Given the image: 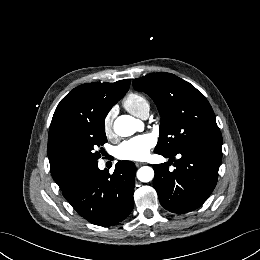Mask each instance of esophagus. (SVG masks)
Instances as JSON below:
<instances>
[{
	"mask_svg": "<svg viewBox=\"0 0 260 260\" xmlns=\"http://www.w3.org/2000/svg\"><path fill=\"white\" fill-rule=\"evenodd\" d=\"M144 163H142V162H135V165L137 166V167H140L141 165H143Z\"/></svg>",
	"mask_w": 260,
	"mask_h": 260,
	"instance_id": "1",
	"label": "esophagus"
}]
</instances>
